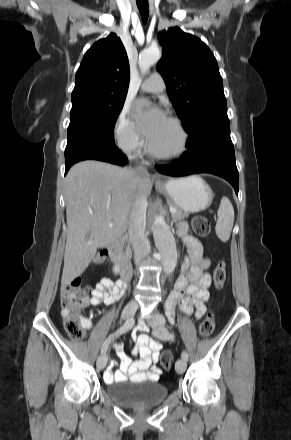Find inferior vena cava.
<instances>
[{"instance_id":"602c4592","label":"inferior vena cava","mask_w":291,"mask_h":440,"mask_svg":"<svg viewBox=\"0 0 291 440\" xmlns=\"http://www.w3.org/2000/svg\"><path fill=\"white\" fill-rule=\"evenodd\" d=\"M140 174H147V169L143 165L136 168ZM146 208L147 202L144 197L137 199L132 207L129 225L128 236L134 252L135 262L138 264L148 253L149 243L145 235L146 229Z\"/></svg>"}]
</instances>
